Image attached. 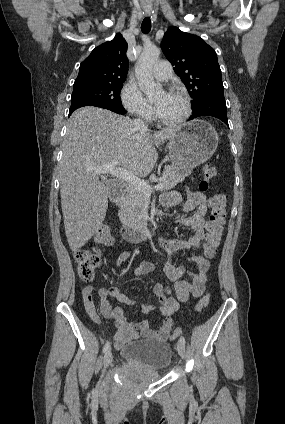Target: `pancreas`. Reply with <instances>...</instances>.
Segmentation results:
<instances>
[{
	"label": "pancreas",
	"mask_w": 285,
	"mask_h": 424,
	"mask_svg": "<svg viewBox=\"0 0 285 424\" xmlns=\"http://www.w3.org/2000/svg\"><path fill=\"white\" fill-rule=\"evenodd\" d=\"M181 181V176L173 166H167L163 175L160 177V183L164 184L163 191L174 188ZM146 201V194L133 187H128L120 203V221L128 227L139 228L143 221L144 205Z\"/></svg>",
	"instance_id": "cf45deb5"
}]
</instances>
